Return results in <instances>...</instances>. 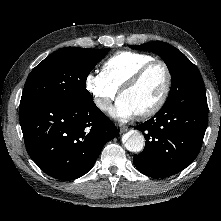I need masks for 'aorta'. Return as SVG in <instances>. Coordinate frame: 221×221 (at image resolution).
I'll use <instances>...</instances> for the list:
<instances>
[{
  "instance_id": "obj_1",
  "label": "aorta",
  "mask_w": 221,
  "mask_h": 221,
  "mask_svg": "<svg viewBox=\"0 0 221 221\" xmlns=\"http://www.w3.org/2000/svg\"><path fill=\"white\" fill-rule=\"evenodd\" d=\"M125 148L130 152H140L145 146V138L137 130L130 131L125 140Z\"/></svg>"
}]
</instances>
